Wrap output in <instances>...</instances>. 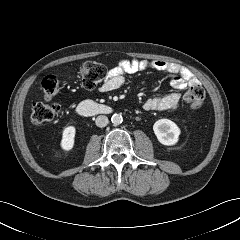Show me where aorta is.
<instances>
[{"label":"aorta","instance_id":"aorta-1","mask_svg":"<svg viewBox=\"0 0 240 240\" xmlns=\"http://www.w3.org/2000/svg\"><path fill=\"white\" fill-rule=\"evenodd\" d=\"M111 122L114 124V125H119L123 122V117L121 114H113L112 117H111Z\"/></svg>","mask_w":240,"mask_h":240}]
</instances>
